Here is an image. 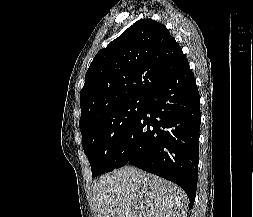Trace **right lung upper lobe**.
I'll list each match as a JSON object with an SVG mask.
<instances>
[{
	"mask_svg": "<svg viewBox=\"0 0 253 217\" xmlns=\"http://www.w3.org/2000/svg\"><path fill=\"white\" fill-rule=\"evenodd\" d=\"M167 28L142 19L100 50L85 75L79 125L118 102L146 97L186 61Z\"/></svg>",
	"mask_w": 253,
	"mask_h": 217,
	"instance_id": "obj_1",
	"label": "right lung upper lobe"
}]
</instances>
